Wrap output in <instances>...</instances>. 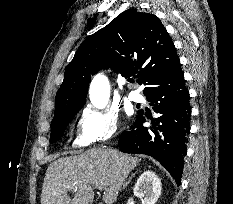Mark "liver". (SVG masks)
Listing matches in <instances>:
<instances>
[{
	"label": "liver",
	"instance_id": "6515ba94",
	"mask_svg": "<svg viewBox=\"0 0 233 204\" xmlns=\"http://www.w3.org/2000/svg\"><path fill=\"white\" fill-rule=\"evenodd\" d=\"M140 159L111 148H93L77 156L61 157L48 166L41 204H92V186H103V201L113 204L129 173ZM67 191L74 193L71 199Z\"/></svg>",
	"mask_w": 233,
	"mask_h": 204
}]
</instances>
